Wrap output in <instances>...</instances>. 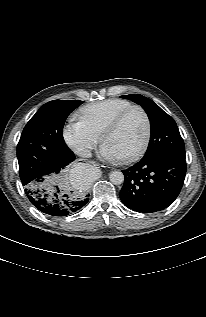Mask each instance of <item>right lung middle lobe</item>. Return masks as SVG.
<instances>
[{"mask_svg": "<svg viewBox=\"0 0 206 317\" xmlns=\"http://www.w3.org/2000/svg\"><path fill=\"white\" fill-rule=\"evenodd\" d=\"M82 103L78 100L50 101L26 124L17 145L19 175L24 186L49 174H52L50 180L58 178L55 174L62 169L57 163V154L69 149L62 136L63 125L68 115Z\"/></svg>", "mask_w": 206, "mask_h": 317, "instance_id": "1", "label": "right lung middle lobe"}]
</instances>
